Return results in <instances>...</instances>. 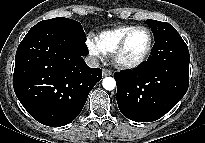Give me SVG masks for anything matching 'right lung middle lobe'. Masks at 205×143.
Returning a JSON list of instances; mask_svg holds the SVG:
<instances>
[{
  "instance_id": "1",
  "label": "right lung middle lobe",
  "mask_w": 205,
  "mask_h": 143,
  "mask_svg": "<svg viewBox=\"0 0 205 143\" xmlns=\"http://www.w3.org/2000/svg\"><path fill=\"white\" fill-rule=\"evenodd\" d=\"M44 25L59 28L83 41L86 40V35L82 29L81 24L75 20L64 18V17H57V18L38 22L35 26H44Z\"/></svg>"
}]
</instances>
